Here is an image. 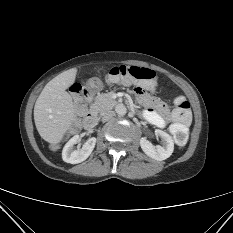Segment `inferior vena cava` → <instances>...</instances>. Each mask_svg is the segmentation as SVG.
Instances as JSON below:
<instances>
[{
	"label": "inferior vena cava",
	"instance_id": "inferior-vena-cava-1",
	"mask_svg": "<svg viewBox=\"0 0 233 233\" xmlns=\"http://www.w3.org/2000/svg\"><path fill=\"white\" fill-rule=\"evenodd\" d=\"M115 116V112L114 111H106L103 115H102V122H106L108 120H110L111 118H113Z\"/></svg>",
	"mask_w": 233,
	"mask_h": 233
}]
</instances>
